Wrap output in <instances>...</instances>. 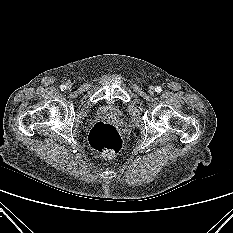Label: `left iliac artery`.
<instances>
[{
    "label": "left iliac artery",
    "instance_id": "1",
    "mask_svg": "<svg viewBox=\"0 0 233 233\" xmlns=\"http://www.w3.org/2000/svg\"><path fill=\"white\" fill-rule=\"evenodd\" d=\"M155 91L158 92V93H160V92L162 91V88H161L160 86H157V87L155 88Z\"/></svg>",
    "mask_w": 233,
    "mask_h": 233
}]
</instances>
